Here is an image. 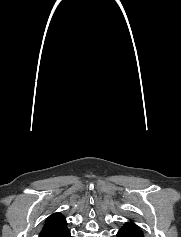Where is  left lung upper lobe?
I'll use <instances>...</instances> for the list:
<instances>
[{"mask_svg":"<svg viewBox=\"0 0 181 237\" xmlns=\"http://www.w3.org/2000/svg\"><path fill=\"white\" fill-rule=\"evenodd\" d=\"M137 227L133 222H126L122 228Z\"/></svg>","mask_w":181,"mask_h":237,"instance_id":"obj_1","label":"left lung upper lobe"}]
</instances>
